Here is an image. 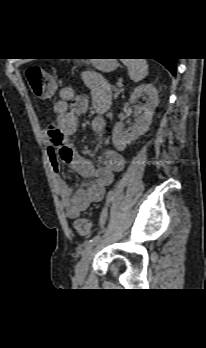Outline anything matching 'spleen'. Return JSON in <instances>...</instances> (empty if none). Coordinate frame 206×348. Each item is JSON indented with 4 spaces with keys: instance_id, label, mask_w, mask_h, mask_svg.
<instances>
[{
    "instance_id": "spleen-1",
    "label": "spleen",
    "mask_w": 206,
    "mask_h": 348,
    "mask_svg": "<svg viewBox=\"0 0 206 348\" xmlns=\"http://www.w3.org/2000/svg\"><path fill=\"white\" fill-rule=\"evenodd\" d=\"M122 62L127 66L132 81L139 82L147 76L148 64L145 59H123Z\"/></svg>"
}]
</instances>
